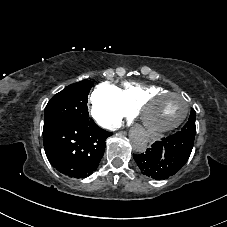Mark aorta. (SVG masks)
<instances>
[{"mask_svg":"<svg viewBox=\"0 0 227 227\" xmlns=\"http://www.w3.org/2000/svg\"><path fill=\"white\" fill-rule=\"evenodd\" d=\"M133 150L137 153L145 152L147 148V139L142 133L134 134L131 138Z\"/></svg>","mask_w":227,"mask_h":227,"instance_id":"aorta-1","label":"aorta"}]
</instances>
